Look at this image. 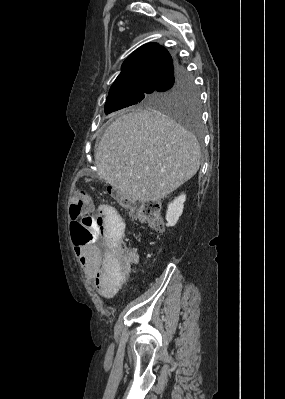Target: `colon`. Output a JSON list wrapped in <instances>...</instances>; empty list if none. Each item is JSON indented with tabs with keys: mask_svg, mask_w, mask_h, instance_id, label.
<instances>
[{
	"mask_svg": "<svg viewBox=\"0 0 285 399\" xmlns=\"http://www.w3.org/2000/svg\"><path fill=\"white\" fill-rule=\"evenodd\" d=\"M118 196L117 193H114ZM123 207L132 215L137 216L141 221L147 222L155 229L163 228V218L161 215L160 203L156 200H147L139 204L134 201H122ZM91 198L88 192L76 187L73 191L69 211L72 214L70 222V231L74 243L84 244L87 242L97 241L94 231H89L86 227L91 223L90 215ZM84 232L85 236L81 237L80 233ZM108 254L114 258L116 268L122 276L130 274L133 264V253L124 245H112L108 247Z\"/></svg>",
	"mask_w": 285,
	"mask_h": 399,
	"instance_id": "obj_1",
	"label": "colon"
}]
</instances>
